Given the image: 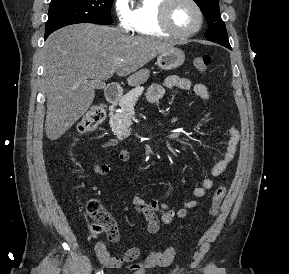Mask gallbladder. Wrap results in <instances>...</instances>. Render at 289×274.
<instances>
[{
	"label": "gallbladder",
	"instance_id": "bac80fb5",
	"mask_svg": "<svg viewBox=\"0 0 289 274\" xmlns=\"http://www.w3.org/2000/svg\"><path fill=\"white\" fill-rule=\"evenodd\" d=\"M94 87L95 89H102L105 87V83L102 81H96L94 82Z\"/></svg>",
	"mask_w": 289,
	"mask_h": 274
}]
</instances>
